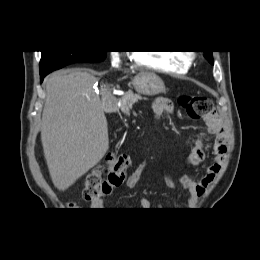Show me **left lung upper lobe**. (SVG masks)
<instances>
[{"label": "left lung upper lobe", "instance_id": "1", "mask_svg": "<svg viewBox=\"0 0 260 260\" xmlns=\"http://www.w3.org/2000/svg\"><path fill=\"white\" fill-rule=\"evenodd\" d=\"M206 59L213 65L212 51H204Z\"/></svg>", "mask_w": 260, "mask_h": 260}]
</instances>
